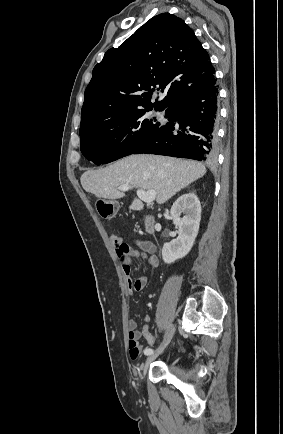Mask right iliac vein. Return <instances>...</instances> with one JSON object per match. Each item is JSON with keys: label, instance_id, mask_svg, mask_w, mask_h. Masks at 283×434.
<instances>
[{"label": "right iliac vein", "instance_id": "right-iliac-vein-1", "mask_svg": "<svg viewBox=\"0 0 283 434\" xmlns=\"http://www.w3.org/2000/svg\"><path fill=\"white\" fill-rule=\"evenodd\" d=\"M174 335V326L170 324L167 328V331L165 333L164 339L161 343V345L155 350L153 354H151L145 361V363L142 366L143 376H145L148 366L150 362H152L156 357H158L160 354H162L165 350V348L169 345L172 337Z\"/></svg>", "mask_w": 283, "mask_h": 434}]
</instances>
